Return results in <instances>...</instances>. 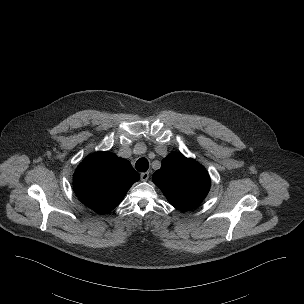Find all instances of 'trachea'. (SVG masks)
I'll return each instance as SVG.
<instances>
[{"instance_id": "trachea-1", "label": "trachea", "mask_w": 304, "mask_h": 304, "mask_svg": "<svg viewBox=\"0 0 304 304\" xmlns=\"http://www.w3.org/2000/svg\"><path fill=\"white\" fill-rule=\"evenodd\" d=\"M135 167L140 172H146L149 168V162L146 158H140L137 160Z\"/></svg>"}]
</instances>
